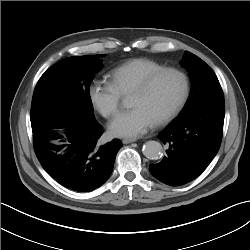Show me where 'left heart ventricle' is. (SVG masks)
Instances as JSON below:
<instances>
[{
  "mask_svg": "<svg viewBox=\"0 0 250 250\" xmlns=\"http://www.w3.org/2000/svg\"><path fill=\"white\" fill-rule=\"evenodd\" d=\"M183 90L182 78L173 73L159 77L145 93H132L131 107H142L157 121L176 104Z\"/></svg>",
  "mask_w": 250,
  "mask_h": 250,
  "instance_id": "left-heart-ventricle-1",
  "label": "left heart ventricle"
}]
</instances>
